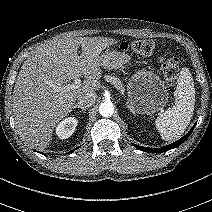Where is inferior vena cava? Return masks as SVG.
Wrapping results in <instances>:
<instances>
[{"mask_svg":"<svg viewBox=\"0 0 212 212\" xmlns=\"http://www.w3.org/2000/svg\"><path fill=\"white\" fill-rule=\"evenodd\" d=\"M97 101V94L95 92L82 93L78 96V103L84 107H90Z\"/></svg>","mask_w":212,"mask_h":212,"instance_id":"obj_1","label":"inferior vena cava"}]
</instances>
